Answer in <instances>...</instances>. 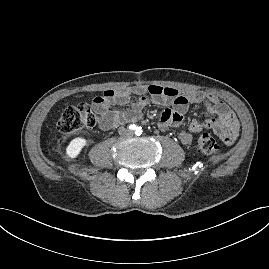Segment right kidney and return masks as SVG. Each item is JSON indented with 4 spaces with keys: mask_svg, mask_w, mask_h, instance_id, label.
<instances>
[{
    "mask_svg": "<svg viewBox=\"0 0 269 269\" xmlns=\"http://www.w3.org/2000/svg\"><path fill=\"white\" fill-rule=\"evenodd\" d=\"M87 140L82 137H77L69 143L66 148V154L69 158L74 159L78 157L84 146H86Z\"/></svg>",
    "mask_w": 269,
    "mask_h": 269,
    "instance_id": "right-kidney-1",
    "label": "right kidney"
}]
</instances>
